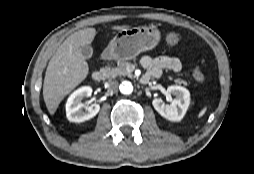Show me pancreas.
I'll use <instances>...</instances> for the list:
<instances>
[{
    "label": "pancreas",
    "instance_id": "1",
    "mask_svg": "<svg viewBox=\"0 0 254 174\" xmlns=\"http://www.w3.org/2000/svg\"><path fill=\"white\" fill-rule=\"evenodd\" d=\"M130 65L129 62L127 61H120L118 63V66L117 67H109V66H106L104 68H102V72L105 73L106 77L107 78H116L118 76H128V77H132V74L131 72H129L127 70V67ZM176 83L178 84H184L186 85L187 82L183 79H176L175 80Z\"/></svg>",
    "mask_w": 254,
    "mask_h": 174
}]
</instances>
